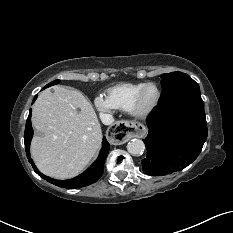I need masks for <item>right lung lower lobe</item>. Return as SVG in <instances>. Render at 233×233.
Returning <instances> with one entry per match:
<instances>
[{
    "instance_id": "1",
    "label": "right lung lower lobe",
    "mask_w": 233,
    "mask_h": 233,
    "mask_svg": "<svg viewBox=\"0 0 233 233\" xmlns=\"http://www.w3.org/2000/svg\"><path fill=\"white\" fill-rule=\"evenodd\" d=\"M37 95L34 97L33 102L36 100ZM31 113L32 110L30 109L29 116L26 121V127H25V134H24V143H25V150L27 158L29 159V162L31 163L32 167L34 168L35 172L38 173L43 179L47 180L50 183H53L56 186L69 188V189H75L78 187H84L87 185H90L94 182H96L103 174L104 171V161L109 151V143L107 142L106 138H103V146L100 152V155L96 162L93 163V165L86 170L83 174L79 175L78 177H75L70 180H55L50 177H47L43 175L41 172L38 171L36 166L34 165L32 159L30 158V142L33 136V129L31 126Z\"/></svg>"
}]
</instances>
